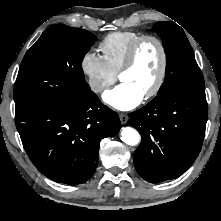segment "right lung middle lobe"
<instances>
[{
  "label": "right lung middle lobe",
  "mask_w": 221,
  "mask_h": 221,
  "mask_svg": "<svg viewBox=\"0 0 221 221\" xmlns=\"http://www.w3.org/2000/svg\"><path fill=\"white\" fill-rule=\"evenodd\" d=\"M96 40L86 30L65 25L45 30L19 68L14 87L16 119L65 105L91 91L81 63Z\"/></svg>",
  "instance_id": "obj_1"
}]
</instances>
